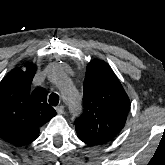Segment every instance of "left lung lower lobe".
<instances>
[{"label": "left lung lower lobe", "instance_id": "1", "mask_svg": "<svg viewBox=\"0 0 165 165\" xmlns=\"http://www.w3.org/2000/svg\"><path fill=\"white\" fill-rule=\"evenodd\" d=\"M78 134V138L81 140V141H83V142H85L86 144H88V145H100V144H98L96 141H94L93 139H91V138H88V137H86V136H84V135H82V134H79V133H77Z\"/></svg>", "mask_w": 165, "mask_h": 165}]
</instances>
